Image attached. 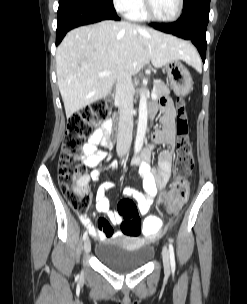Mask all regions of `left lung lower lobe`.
I'll use <instances>...</instances> for the list:
<instances>
[{
    "label": "left lung lower lobe",
    "mask_w": 247,
    "mask_h": 304,
    "mask_svg": "<svg viewBox=\"0 0 247 304\" xmlns=\"http://www.w3.org/2000/svg\"><path fill=\"white\" fill-rule=\"evenodd\" d=\"M210 0H193L183 10L181 17L172 24H151L157 30L191 40L203 62L206 54V30L209 22Z\"/></svg>",
    "instance_id": "1"
}]
</instances>
